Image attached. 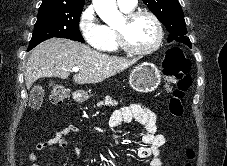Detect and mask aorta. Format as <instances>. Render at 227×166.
Instances as JSON below:
<instances>
[{
  "label": "aorta",
  "mask_w": 227,
  "mask_h": 166,
  "mask_svg": "<svg viewBox=\"0 0 227 166\" xmlns=\"http://www.w3.org/2000/svg\"><path fill=\"white\" fill-rule=\"evenodd\" d=\"M98 16L108 25H113L121 20L122 14L116 6V0H92Z\"/></svg>",
  "instance_id": "obj_1"
}]
</instances>
